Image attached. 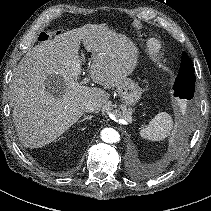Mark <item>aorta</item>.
<instances>
[{"mask_svg":"<svg viewBox=\"0 0 211 211\" xmlns=\"http://www.w3.org/2000/svg\"><path fill=\"white\" fill-rule=\"evenodd\" d=\"M101 139L106 143H118L120 141V135L113 128H104L101 131Z\"/></svg>","mask_w":211,"mask_h":211,"instance_id":"obj_1","label":"aorta"}]
</instances>
